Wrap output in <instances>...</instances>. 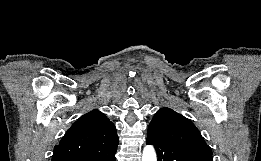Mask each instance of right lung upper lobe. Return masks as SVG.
Instances as JSON below:
<instances>
[{
    "instance_id": "cb5924a9",
    "label": "right lung upper lobe",
    "mask_w": 261,
    "mask_h": 161,
    "mask_svg": "<svg viewBox=\"0 0 261 161\" xmlns=\"http://www.w3.org/2000/svg\"><path fill=\"white\" fill-rule=\"evenodd\" d=\"M118 144L114 124L100 111L80 117L54 148L52 161L102 152Z\"/></svg>"
}]
</instances>
